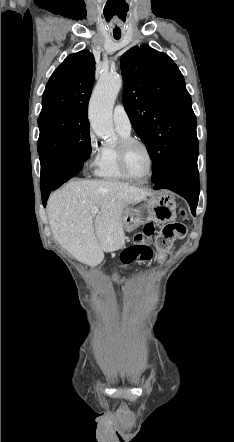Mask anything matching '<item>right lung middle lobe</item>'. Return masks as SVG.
Here are the masks:
<instances>
[{
  "label": "right lung middle lobe",
  "mask_w": 234,
  "mask_h": 442,
  "mask_svg": "<svg viewBox=\"0 0 234 442\" xmlns=\"http://www.w3.org/2000/svg\"><path fill=\"white\" fill-rule=\"evenodd\" d=\"M40 135L38 154L71 152L85 162L91 154L88 118L80 115L57 114L38 118Z\"/></svg>",
  "instance_id": "1"
}]
</instances>
